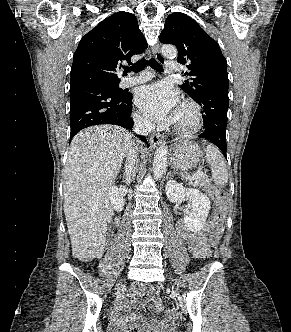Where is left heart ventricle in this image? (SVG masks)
<instances>
[{"label":"left heart ventricle","mask_w":291,"mask_h":332,"mask_svg":"<svg viewBox=\"0 0 291 332\" xmlns=\"http://www.w3.org/2000/svg\"><path fill=\"white\" fill-rule=\"evenodd\" d=\"M176 124L180 126H187L190 123V115L189 112L186 109L178 108L177 114H176Z\"/></svg>","instance_id":"b2bd125f"}]
</instances>
